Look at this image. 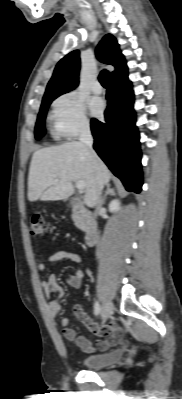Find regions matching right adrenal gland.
<instances>
[{"instance_id": "1", "label": "right adrenal gland", "mask_w": 182, "mask_h": 399, "mask_svg": "<svg viewBox=\"0 0 182 399\" xmlns=\"http://www.w3.org/2000/svg\"><path fill=\"white\" fill-rule=\"evenodd\" d=\"M107 195H111V196L116 195L114 189L111 188L109 184L107 185L106 193H105L104 197L102 198V204L105 203Z\"/></svg>"}]
</instances>
